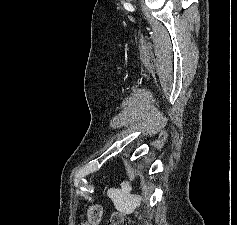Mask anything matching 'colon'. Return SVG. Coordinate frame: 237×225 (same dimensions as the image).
I'll return each instance as SVG.
<instances>
[{
  "label": "colon",
  "mask_w": 237,
  "mask_h": 225,
  "mask_svg": "<svg viewBox=\"0 0 237 225\" xmlns=\"http://www.w3.org/2000/svg\"><path fill=\"white\" fill-rule=\"evenodd\" d=\"M102 207L98 204L89 207L87 212V219L82 221L79 225H99L102 220ZM108 225H132L129 218L121 213H114L109 221Z\"/></svg>",
  "instance_id": "colon-1"
}]
</instances>
